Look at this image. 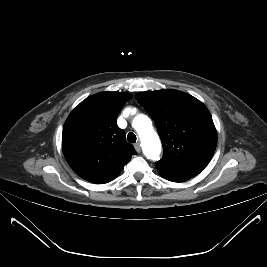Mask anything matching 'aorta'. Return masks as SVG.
<instances>
[{"label":"aorta","mask_w":267,"mask_h":267,"mask_svg":"<svg viewBox=\"0 0 267 267\" xmlns=\"http://www.w3.org/2000/svg\"><path fill=\"white\" fill-rule=\"evenodd\" d=\"M132 127L139 135L144 155L151 160H158L161 142L154 131L152 121L147 115L137 114L132 120Z\"/></svg>","instance_id":"1"}]
</instances>
